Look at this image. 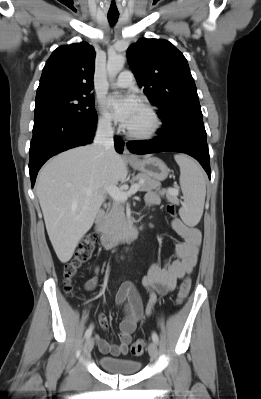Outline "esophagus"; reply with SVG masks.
Returning <instances> with one entry per match:
<instances>
[{"instance_id": "1", "label": "esophagus", "mask_w": 261, "mask_h": 399, "mask_svg": "<svg viewBox=\"0 0 261 399\" xmlns=\"http://www.w3.org/2000/svg\"><path fill=\"white\" fill-rule=\"evenodd\" d=\"M123 157L126 159H134L135 157L130 153V151L128 150L126 143H125V147H124V151H123Z\"/></svg>"}]
</instances>
